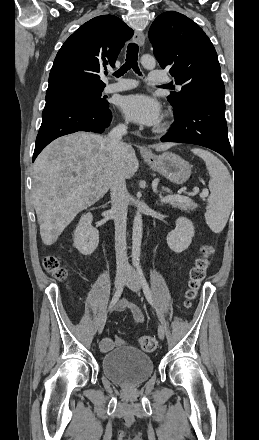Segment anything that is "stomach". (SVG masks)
Instances as JSON below:
<instances>
[{
    "mask_svg": "<svg viewBox=\"0 0 259 440\" xmlns=\"http://www.w3.org/2000/svg\"><path fill=\"white\" fill-rule=\"evenodd\" d=\"M144 160L153 170L175 184L185 183L191 175L190 164L172 152H163L152 157L144 156Z\"/></svg>",
    "mask_w": 259,
    "mask_h": 440,
    "instance_id": "1",
    "label": "stomach"
}]
</instances>
